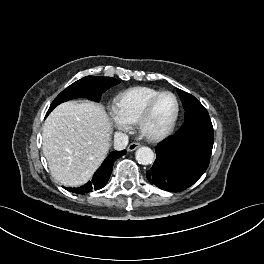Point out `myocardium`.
<instances>
[{
	"mask_svg": "<svg viewBox=\"0 0 264 264\" xmlns=\"http://www.w3.org/2000/svg\"><path fill=\"white\" fill-rule=\"evenodd\" d=\"M164 95H170L175 100L176 109H175L174 116H173L172 120L170 121V123L168 124V126L166 128H164L162 131L157 132V133H149L146 131V124H147V122H148V120H149V118L153 112L155 104ZM179 112H180L179 100L173 92L162 91V92L158 93L157 95H155L153 98H151L149 100V102L145 106L144 110L142 111L140 117L138 118V120L136 122L140 135L143 138H145L146 140L153 141V142L161 141V140L167 138L173 132V130L176 126V123H177V120L179 117Z\"/></svg>",
	"mask_w": 264,
	"mask_h": 264,
	"instance_id": "1",
	"label": "myocardium"
}]
</instances>
